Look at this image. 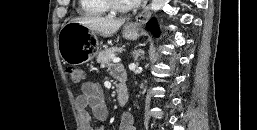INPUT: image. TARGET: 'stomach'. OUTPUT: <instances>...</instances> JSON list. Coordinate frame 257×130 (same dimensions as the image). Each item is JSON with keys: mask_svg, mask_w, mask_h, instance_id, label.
Masks as SVG:
<instances>
[{"mask_svg": "<svg viewBox=\"0 0 257 130\" xmlns=\"http://www.w3.org/2000/svg\"><path fill=\"white\" fill-rule=\"evenodd\" d=\"M139 30L138 25L127 23L123 27V37L136 40L139 38ZM93 34L92 30L78 22L64 24L58 36L59 54L63 62L80 65L92 60L98 53L97 45L88 40V36Z\"/></svg>", "mask_w": 257, "mask_h": 130, "instance_id": "stomach-1", "label": "stomach"}]
</instances>
